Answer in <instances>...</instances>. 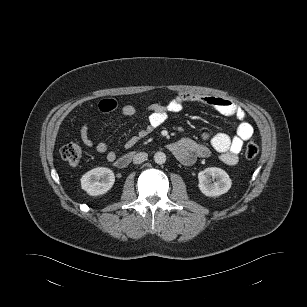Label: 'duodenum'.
<instances>
[{"instance_id":"obj_1","label":"duodenum","mask_w":307,"mask_h":307,"mask_svg":"<svg viewBox=\"0 0 307 307\" xmlns=\"http://www.w3.org/2000/svg\"><path fill=\"white\" fill-rule=\"evenodd\" d=\"M132 157H133V153L124 154L123 156L118 158L116 162V166L119 168L127 167L130 164Z\"/></svg>"}]
</instances>
